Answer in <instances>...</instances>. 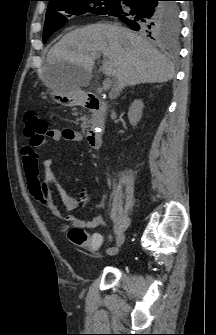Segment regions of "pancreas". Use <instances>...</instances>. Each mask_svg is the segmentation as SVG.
I'll return each instance as SVG.
<instances>
[{"label": "pancreas", "instance_id": "1", "mask_svg": "<svg viewBox=\"0 0 216 335\" xmlns=\"http://www.w3.org/2000/svg\"><path fill=\"white\" fill-rule=\"evenodd\" d=\"M82 131L84 132L86 130V128H88V125H87V119H84L83 123H82Z\"/></svg>", "mask_w": 216, "mask_h": 335}]
</instances>
